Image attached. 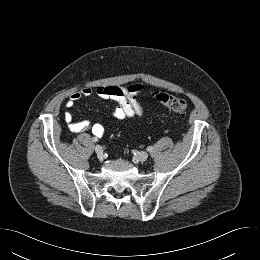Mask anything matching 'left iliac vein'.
<instances>
[{
  "mask_svg": "<svg viewBox=\"0 0 260 260\" xmlns=\"http://www.w3.org/2000/svg\"><path fill=\"white\" fill-rule=\"evenodd\" d=\"M135 159L140 162H144L148 159V153L147 152H140L135 156Z\"/></svg>",
  "mask_w": 260,
  "mask_h": 260,
  "instance_id": "left-iliac-vein-1",
  "label": "left iliac vein"
}]
</instances>
